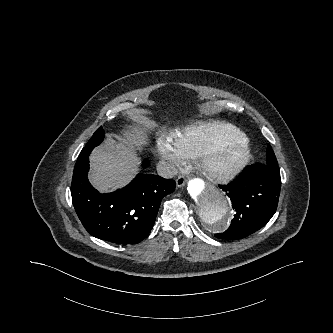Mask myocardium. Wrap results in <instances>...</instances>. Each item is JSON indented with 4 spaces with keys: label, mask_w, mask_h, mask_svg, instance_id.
<instances>
[{
    "label": "myocardium",
    "mask_w": 333,
    "mask_h": 333,
    "mask_svg": "<svg viewBox=\"0 0 333 333\" xmlns=\"http://www.w3.org/2000/svg\"><path fill=\"white\" fill-rule=\"evenodd\" d=\"M236 147V155L225 166H219L217 157L224 151ZM252 149L248 139L223 138L207 147L198 157L200 167L204 174L211 180L219 183L229 182L235 178L250 162Z\"/></svg>",
    "instance_id": "myocardium-1"
}]
</instances>
